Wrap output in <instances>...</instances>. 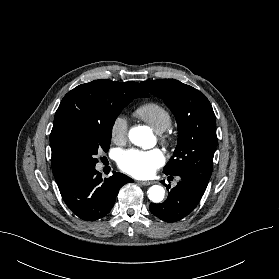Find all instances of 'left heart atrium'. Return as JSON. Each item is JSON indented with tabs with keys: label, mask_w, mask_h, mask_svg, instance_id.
<instances>
[{
	"label": "left heart atrium",
	"mask_w": 279,
	"mask_h": 279,
	"mask_svg": "<svg viewBox=\"0 0 279 279\" xmlns=\"http://www.w3.org/2000/svg\"><path fill=\"white\" fill-rule=\"evenodd\" d=\"M164 162L165 156L158 148L127 149L121 151L117 158L119 168L137 178L150 177Z\"/></svg>",
	"instance_id": "39dd6f15"
}]
</instances>
